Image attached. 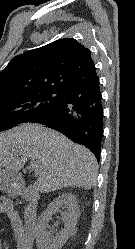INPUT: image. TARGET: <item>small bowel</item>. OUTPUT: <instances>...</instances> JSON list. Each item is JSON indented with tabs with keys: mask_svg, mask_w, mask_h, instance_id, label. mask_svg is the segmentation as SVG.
<instances>
[{
	"mask_svg": "<svg viewBox=\"0 0 135 249\" xmlns=\"http://www.w3.org/2000/svg\"><path fill=\"white\" fill-rule=\"evenodd\" d=\"M0 213L7 215L13 225V234L17 241L16 249H34L35 223L33 219L23 221L13 204L6 198L0 199ZM0 249L2 242L0 240Z\"/></svg>",
	"mask_w": 135,
	"mask_h": 249,
	"instance_id": "small-bowel-1",
	"label": "small bowel"
}]
</instances>
